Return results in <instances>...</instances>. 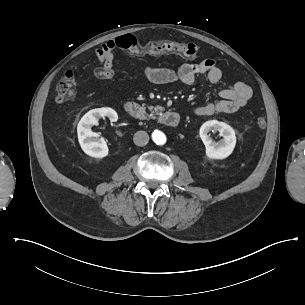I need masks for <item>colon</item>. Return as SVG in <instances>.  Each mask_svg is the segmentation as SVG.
Here are the masks:
<instances>
[{"label": "colon", "instance_id": "obj_1", "mask_svg": "<svg viewBox=\"0 0 305 305\" xmlns=\"http://www.w3.org/2000/svg\"><path fill=\"white\" fill-rule=\"evenodd\" d=\"M118 45L117 53H124L126 51H131L132 53H141L146 51L148 53H179L187 58H195L198 53V48L193 43H174V42H163L160 45H151L147 48L140 47L138 45V40L133 36L132 33L126 32L119 35L115 39ZM114 75V69L109 70L105 68L104 65L99 66L95 72L94 76L96 78H110ZM77 88V81L73 73H66L58 82L56 87V99L58 102L70 101L75 97ZM256 124L259 128H265L266 119L263 116H258L256 119Z\"/></svg>", "mask_w": 305, "mask_h": 305}]
</instances>
